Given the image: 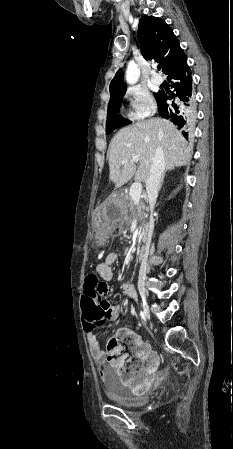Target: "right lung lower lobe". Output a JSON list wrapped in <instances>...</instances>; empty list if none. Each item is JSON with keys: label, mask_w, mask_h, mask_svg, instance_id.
<instances>
[{"label": "right lung lower lobe", "mask_w": 233, "mask_h": 449, "mask_svg": "<svg viewBox=\"0 0 233 449\" xmlns=\"http://www.w3.org/2000/svg\"><path fill=\"white\" fill-rule=\"evenodd\" d=\"M168 81L174 89L170 95L159 92L156 99L159 114L171 120L180 133L188 139L192 135V123L195 115L192 94V77L187 61L168 74ZM169 100V102H167Z\"/></svg>", "instance_id": "obj_1"}]
</instances>
